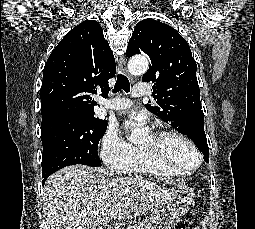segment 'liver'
Instances as JSON below:
<instances>
[{
  "mask_svg": "<svg viewBox=\"0 0 255 229\" xmlns=\"http://www.w3.org/2000/svg\"><path fill=\"white\" fill-rule=\"evenodd\" d=\"M173 192L142 178H109L103 167L73 165L47 179L43 200L51 229H96L110 218L140 216Z\"/></svg>",
  "mask_w": 255,
  "mask_h": 229,
  "instance_id": "obj_1",
  "label": "liver"
}]
</instances>
